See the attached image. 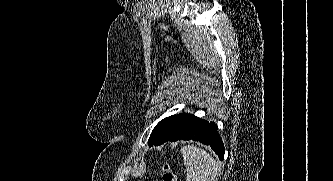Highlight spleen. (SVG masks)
Instances as JSON below:
<instances>
[{"mask_svg":"<svg viewBox=\"0 0 333 181\" xmlns=\"http://www.w3.org/2000/svg\"><path fill=\"white\" fill-rule=\"evenodd\" d=\"M180 152L186 168V181H217L220 169L208 152L196 146H183Z\"/></svg>","mask_w":333,"mask_h":181,"instance_id":"3e777b00","label":"spleen"}]
</instances>
